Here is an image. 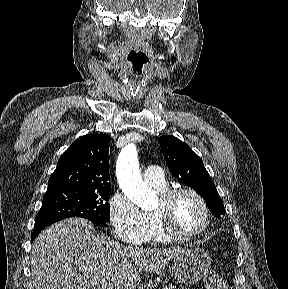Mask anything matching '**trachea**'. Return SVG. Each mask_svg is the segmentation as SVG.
<instances>
[{
	"label": "trachea",
	"instance_id": "trachea-1",
	"mask_svg": "<svg viewBox=\"0 0 288 289\" xmlns=\"http://www.w3.org/2000/svg\"><path fill=\"white\" fill-rule=\"evenodd\" d=\"M127 60L129 62V65L133 68V69H138L141 70L144 66V64H146L148 62V57L146 56V54L139 50V49H133L127 57Z\"/></svg>",
	"mask_w": 288,
	"mask_h": 289
}]
</instances>
